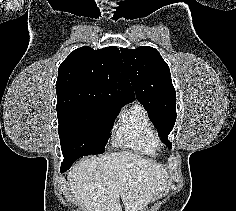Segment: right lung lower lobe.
Instances as JSON below:
<instances>
[{
  "label": "right lung lower lobe",
  "instance_id": "1",
  "mask_svg": "<svg viewBox=\"0 0 236 211\" xmlns=\"http://www.w3.org/2000/svg\"><path fill=\"white\" fill-rule=\"evenodd\" d=\"M85 155H88V154H74L69 157H65L64 161L61 164V172L67 171L78 158Z\"/></svg>",
  "mask_w": 236,
  "mask_h": 211
}]
</instances>
